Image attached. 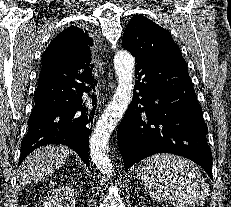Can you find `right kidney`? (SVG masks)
Returning <instances> with one entry per match:
<instances>
[{"label": "right kidney", "mask_w": 231, "mask_h": 207, "mask_svg": "<svg viewBox=\"0 0 231 207\" xmlns=\"http://www.w3.org/2000/svg\"><path fill=\"white\" fill-rule=\"evenodd\" d=\"M75 205L74 191L67 186L53 190L49 198L43 203L44 207H75Z\"/></svg>", "instance_id": "right-kidney-1"}]
</instances>
